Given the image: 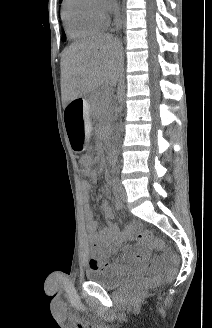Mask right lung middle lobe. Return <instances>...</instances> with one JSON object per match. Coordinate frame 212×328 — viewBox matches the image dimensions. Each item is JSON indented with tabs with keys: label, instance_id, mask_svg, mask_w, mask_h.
Wrapping results in <instances>:
<instances>
[{
	"label": "right lung middle lobe",
	"instance_id": "right-lung-middle-lobe-1",
	"mask_svg": "<svg viewBox=\"0 0 212 328\" xmlns=\"http://www.w3.org/2000/svg\"><path fill=\"white\" fill-rule=\"evenodd\" d=\"M60 1H61V0H60ZM63 39L66 40V37L64 36Z\"/></svg>",
	"mask_w": 212,
	"mask_h": 328
}]
</instances>
